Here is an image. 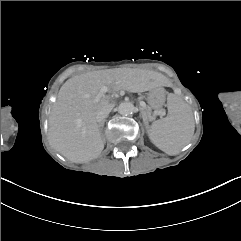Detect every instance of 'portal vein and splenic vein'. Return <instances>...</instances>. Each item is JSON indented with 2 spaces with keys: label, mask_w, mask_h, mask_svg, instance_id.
Returning a JSON list of instances; mask_svg holds the SVG:
<instances>
[{
  "label": "portal vein and splenic vein",
  "mask_w": 241,
  "mask_h": 241,
  "mask_svg": "<svg viewBox=\"0 0 241 241\" xmlns=\"http://www.w3.org/2000/svg\"><path fill=\"white\" fill-rule=\"evenodd\" d=\"M147 107V102H140V109H145Z\"/></svg>",
  "instance_id": "obj_1"
}]
</instances>
